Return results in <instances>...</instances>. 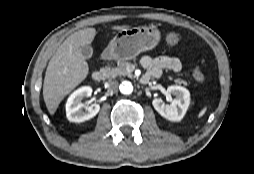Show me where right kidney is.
Returning <instances> with one entry per match:
<instances>
[{
    "label": "right kidney",
    "instance_id": "obj_1",
    "mask_svg": "<svg viewBox=\"0 0 254 174\" xmlns=\"http://www.w3.org/2000/svg\"><path fill=\"white\" fill-rule=\"evenodd\" d=\"M92 88L83 86L75 90L66 102V116L70 122H84L97 115L100 110L99 104L86 105L82 103L85 97H90Z\"/></svg>",
    "mask_w": 254,
    "mask_h": 174
}]
</instances>
